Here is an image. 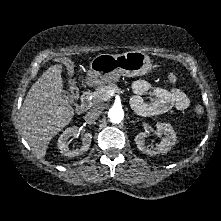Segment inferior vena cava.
<instances>
[{
  "label": "inferior vena cava",
  "mask_w": 221,
  "mask_h": 221,
  "mask_svg": "<svg viewBox=\"0 0 221 221\" xmlns=\"http://www.w3.org/2000/svg\"><path fill=\"white\" fill-rule=\"evenodd\" d=\"M100 113L101 111L98 108L91 109L86 113L85 121L87 123H94L98 119Z\"/></svg>",
  "instance_id": "602c4592"
}]
</instances>
